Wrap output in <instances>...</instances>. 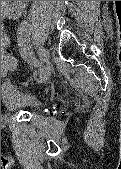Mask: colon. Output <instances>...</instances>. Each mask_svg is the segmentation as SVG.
<instances>
[{
    "label": "colon",
    "instance_id": "5ec220e1",
    "mask_svg": "<svg viewBox=\"0 0 121 169\" xmlns=\"http://www.w3.org/2000/svg\"><path fill=\"white\" fill-rule=\"evenodd\" d=\"M7 42H3V45L6 47ZM16 66V58L13 55L12 52L9 50H6V52L2 56V61H1V69L2 71H8L14 69Z\"/></svg>",
    "mask_w": 121,
    "mask_h": 169
}]
</instances>
